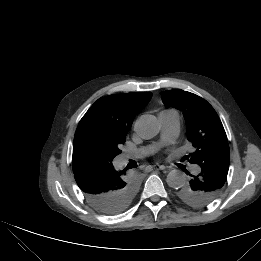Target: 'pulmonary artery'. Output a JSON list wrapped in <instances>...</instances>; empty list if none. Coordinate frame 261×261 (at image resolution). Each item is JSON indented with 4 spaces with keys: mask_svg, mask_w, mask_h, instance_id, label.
Returning a JSON list of instances; mask_svg holds the SVG:
<instances>
[{
    "mask_svg": "<svg viewBox=\"0 0 261 261\" xmlns=\"http://www.w3.org/2000/svg\"><path fill=\"white\" fill-rule=\"evenodd\" d=\"M159 122L161 124V142L165 144L168 141L174 139L180 130V115L176 110L169 109L163 110L158 115ZM153 148H143L139 150V155H144L152 151ZM191 171L193 173L199 172L198 166H192Z\"/></svg>",
    "mask_w": 261,
    "mask_h": 261,
    "instance_id": "pulmonary-artery-1",
    "label": "pulmonary artery"
}]
</instances>
